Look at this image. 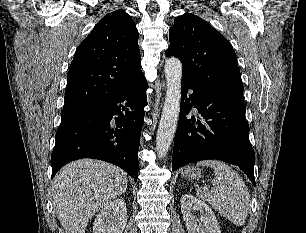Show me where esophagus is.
I'll use <instances>...</instances> for the list:
<instances>
[{"label": "esophagus", "instance_id": "34e87169", "mask_svg": "<svg viewBox=\"0 0 306 233\" xmlns=\"http://www.w3.org/2000/svg\"><path fill=\"white\" fill-rule=\"evenodd\" d=\"M161 89L164 90L165 89V82L161 81Z\"/></svg>", "mask_w": 306, "mask_h": 233}]
</instances>
